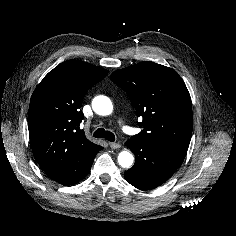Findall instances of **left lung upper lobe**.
Returning <instances> with one entry per match:
<instances>
[{
    "label": "left lung upper lobe",
    "mask_w": 236,
    "mask_h": 236,
    "mask_svg": "<svg viewBox=\"0 0 236 236\" xmlns=\"http://www.w3.org/2000/svg\"><path fill=\"white\" fill-rule=\"evenodd\" d=\"M111 80L126 91L141 131L133 139L186 155L192 134V104L179 74L166 66L145 61L117 70Z\"/></svg>",
    "instance_id": "obj_1"
}]
</instances>
